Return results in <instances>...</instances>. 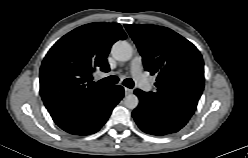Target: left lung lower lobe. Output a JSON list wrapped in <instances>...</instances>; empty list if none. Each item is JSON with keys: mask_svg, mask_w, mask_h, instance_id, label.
I'll use <instances>...</instances> for the list:
<instances>
[{"mask_svg": "<svg viewBox=\"0 0 248 158\" xmlns=\"http://www.w3.org/2000/svg\"><path fill=\"white\" fill-rule=\"evenodd\" d=\"M140 103L132 115L138 127L147 134L166 135L179 131L190 118L172 113L154 103L142 90L136 89Z\"/></svg>", "mask_w": 248, "mask_h": 158, "instance_id": "1", "label": "left lung lower lobe"}]
</instances>
